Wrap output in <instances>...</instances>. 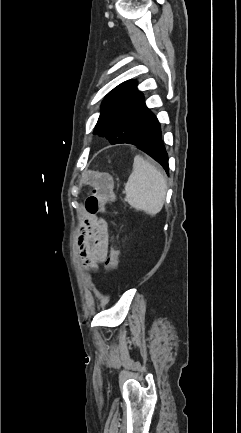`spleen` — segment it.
I'll return each instance as SVG.
<instances>
[{
  "instance_id": "1",
  "label": "spleen",
  "mask_w": 241,
  "mask_h": 433,
  "mask_svg": "<svg viewBox=\"0 0 241 433\" xmlns=\"http://www.w3.org/2000/svg\"><path fill=\"white\" fill-rule=\"evenodd\" d=\"M167 182L154 165L136 155L133 171L125 185L126 201L137 210L154 216L164 205Z\"/></svg>"
}]
</instances>
